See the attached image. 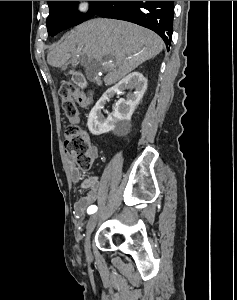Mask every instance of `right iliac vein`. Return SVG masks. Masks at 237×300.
Segmentation results:
<instances>
[{
  "label": "right iliac vein",
  "instance_id": "obj_1",
  "mask_svg": "<svg viewBox=\"0 0 237 300\" xmlns=\"http://www.w3.org/2000/svg\"><path fill=\"white\" fill-rule=\"evenodd\" d=\"M99 219V214H94L90 217L88 225H87V231H86V235H85V242H84V247H85V251L87 254L91 253V249H90V236L93 232V230L95 229L96 223Z\"/></svg>",
  "mask_w": 237,
  "mask_h": 300
}]
</instances>
